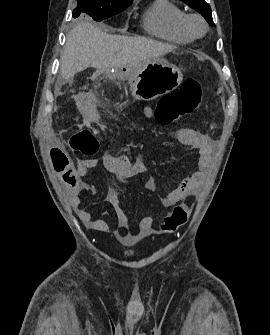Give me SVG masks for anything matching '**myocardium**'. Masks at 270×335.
Returning a JSON list of instances; mask_svg holds the SVG:
<instances>
[{
    "label": "myocardium",
    "instance_id": "1",
    "mask_svg": "<svg viewBox=\"0 0 270 335\" xmlns=\"http://www.w3.org/2000/svg\"><path fill=\"white\" fill-rule=\"evenodd\" d=\"M195 23L201 24L202 26L201 33L196 32L194 28ZM184 28L194 38L203 37L207 33V30H208L206 21L200 15H197V14H190L185 17Z\"/></svg>",
    "mask_w": 270,
    "mask_h": 335
}]
</instances>
